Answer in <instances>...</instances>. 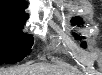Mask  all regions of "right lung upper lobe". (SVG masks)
Masks as SVG:
<instances>
[{
  "label": "right lung upper lobe",
  "mask_w": 102,
  "mask_h": 75,
  "mask_svg": "<svg viewBox=\"0 0 102 75\" xmlns=\"http://www.w3.org/2000/svg\"><path fill=\"white\" fill-rule=\"evenodd\" d=\"M26 6L24 0H0V13L27 17L24 12Z\"/></svg>",
  "instance_id": "obj_1"
}]
</instances>
